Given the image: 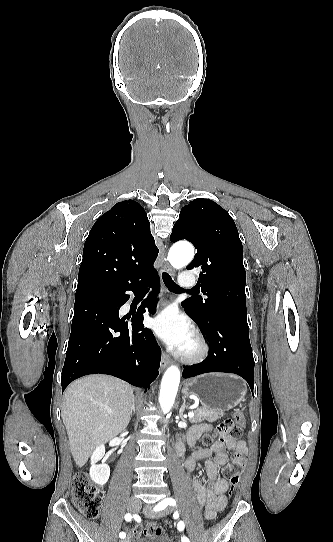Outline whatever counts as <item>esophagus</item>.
<instances>
[{"label":"esophagus","instance_id":"esophagus-1","mask_svg":"<svg viewBox=\"0 0 333 542\" xmlns=\"http://www.w3.org/2000/svg\"><path fill=\"white\" fill-rule=\"evenodd\" d=\"M163 257V256H162ZM164 269L166 272L170 273V274H173V269L170 267V265L168 264L167 260L164 259ZM171 362V359L169 357L168 354H166V352H162V357H161V368L162 369H165Z\"/></svg>","mask_w":333,"mask_h":542}]
</instances>
